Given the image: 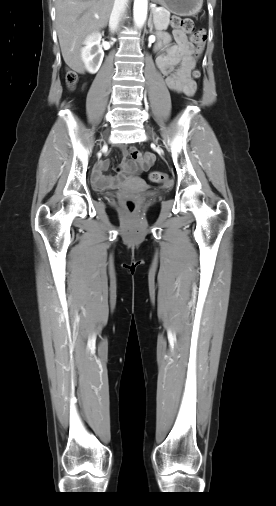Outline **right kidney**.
<instances>
[{
  "instance_id": "ca27d5eb",
  "label": "right kidney",
  "mask_w": 276,
  "mask_h": 506,
  "mask_svg": "<svg viewBox=\"0 0 276 506\" xmlns=\"http://www.w3.org/2000/svg\"><path fill=\"white\" fill-rule=\"evenodd\" d=\"M100 41L101 34L98 32L92 33L86 38L85 47L81 50V58L85 68L92 74L99 70L104 57Z\"/></svg>"
}]
</instances>
